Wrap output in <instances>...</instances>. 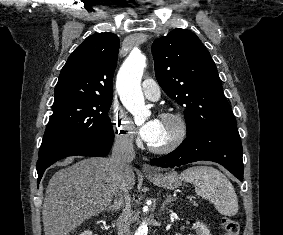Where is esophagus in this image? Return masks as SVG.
I'll return each instance as SVG.
<instances>
[{"label": "esophagus", "mask_w": 283, "mask_h": 235, "mask_svg": "<svg viewBox=\"0 0 283 235\" xmlns=\"http://www.w3.org/2000/svg\"><path fill=\"white\" fill-rule=\"evenodd\" d=\"M142 170L145 174H153L155 172L153 167H151L149 164H144Z\"/></svg>", "instance_id": "esophagus-1"}]
</instances>
